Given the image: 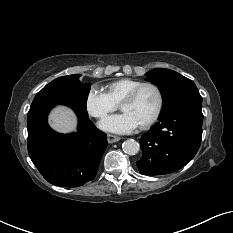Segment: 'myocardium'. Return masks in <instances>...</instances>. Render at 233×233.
<instances>
[{"label":"myocardium","instance_id":"myocardium-1","mask_svg":"<svg viewBox=\"0 0 233 233\" xmlns=\"http://www.w3.org/2000/svg\"><path fill=\"white\" fill-rule=\"evenodd\" d=\"M147 86L152 87L156 90L157 95H158V105H157V108H156L154 114L146 122H144L143 124L140 125L141 128H143V129H146V128L150 127L151 125H153L157 121V119L159 118V116L162 112L163 105H164V97H163V93H162L161 88L155 83L143 82V83L139 84L138 86H136L134 89H132L120 102V107L122 109V106L124 104L133 101L136 98V96L138 95V93L140 92V90L144 87H147Z\"/></svg>","mask_w":233,"mask_h":233}]
</instances>
